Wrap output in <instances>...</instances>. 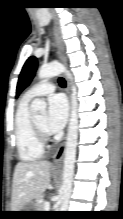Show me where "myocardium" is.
Returning <instances> with one entry per match:
<instances>
[{"mask_svg": "<svg viewBox=\"0 0 123 219\" xmlns=\"http://www.w3.org/2000/svg\"><path fill=\"white\" fill-rule=\"evenodd\" d=\"M33 123L40 140L42 141V143H45L49 138L46 128L40 126L35 120H33Z\"/></svg>", "mask_w": 123, "mask_h": 219, "instance_id": "f54148a6", "label": "myocardium"}]
</instances>
